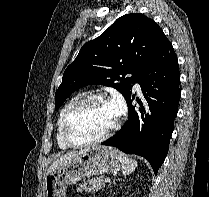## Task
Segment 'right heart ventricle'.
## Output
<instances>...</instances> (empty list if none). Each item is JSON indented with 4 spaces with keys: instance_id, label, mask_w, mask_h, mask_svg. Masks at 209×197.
I'll return each mask as SVG.
<instances>
[{
    "instance_id": "1",
    "label": "right heart ventricle",
    "mask_w": 209,
    "mask_h": 197,
    "mask_svg": "<svg viewBox=\"0 0 209 197\" xmlns=\"http://www.w3.org/2000/svg\"><path fill=\"white\" fill-rule=\"evenodd\" d=\"M80 96H75L72 97L71 99H69L64 106L62 107L58 119H57V123H56V127H57V132H56V139H57V143L58 146L61 149H68L70 146H68L63 138H62V123H63V119L66 115V113L80 100Z\"/></svg>"
}]
</instances>
